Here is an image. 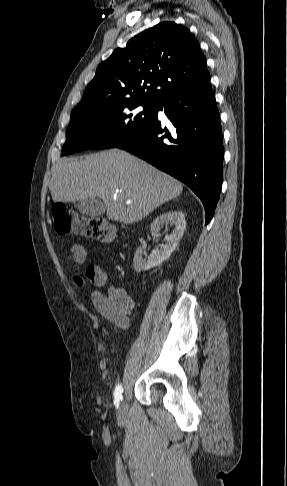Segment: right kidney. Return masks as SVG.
Returning <instances> with one entry per match:
<instances>
[{
    "label": "right kidney",
    "instance_id": "right-kidney-1",
    "mask_svg": "<svg viewBox=\"0 0 287 486\" xmlns=\"http://www.w3.org/2000/svg\"><path fill=\"white\" fill-rule=\"evenodd\" d=\"M164 224H170L174 226L173 231L166 235L165 245L160 249H156L148 257L144 259L145 247H138L134 259L133 267L136 272L146 271L153 267L161 265V263L167 260L171 253L175 250L180 238L183 236L186 227L185 216L182 211H168L159 215L150 225V230L152 233H157Z\"/></svg>",
    "mask_w": 287,
    "mask_h": 486
}]
</instances>
